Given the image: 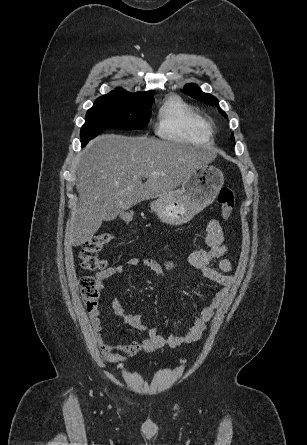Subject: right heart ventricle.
<instances>
[{"mask_svg":"<svg viewBox=\"0 0 307 445\" xmlns=\"http://www.w3.org/2000/svg\"><path fill=\"white\" fill-rule=\"evenodd\" d=\"M159 137L169 140L211 141L212 127L206 119L177 97H168L159 111Z\"/></svg>","mask_w":307,"mask_h":445,"instance_id":"obj_1","label":"right heart ventricle"}]
</instances>
